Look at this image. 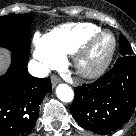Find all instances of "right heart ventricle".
Returning a JSON list of instances; mask_svg holds the SVG:
<instances>
[{"label":"right heart ventricle","mask_w":136,"mask_h":136,"mask_svg":"<svg viewBox=\"0 0 136 136\" xmlns=\"http://www.w3.org/2000/svg\"><path fill=\"white\" fill-rule=\"evenodd\" d=\"M101 31L92 23H68L61 25L43 36L45 44L61 56L73 54L90 36Z\"/></svg>","instance_id":"right-heart-ventricle-1"}]
</instances>
